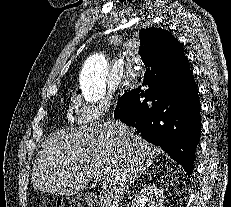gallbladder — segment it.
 Here are the masks:
<instances>
[{
	"label": "gallbladder",
	"mask_w": 231,
	"mask_h": 207,
	"mask_svg": "<svg viewBox=\"0 0 231 207\" xmlns=\"http://www.w3.org/2000/svg\"><path fill=\"white\" fill-rule=\"evenodd\" d=\"M77 199L85 202L89 207L96 206L98 204V200L96 196L92 193H81L77 196Z\"/></svg>",
	"instance_id": "obj_1"
}]
</instances>
